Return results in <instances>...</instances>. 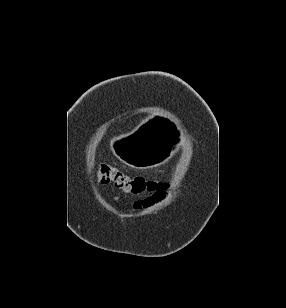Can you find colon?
I'll list each match as a JSON object with an SVG mask.
<instances>
[{"mask_svg": "<svg viewBox=\"0 0 286 308\" xmlns=\"http://www.w3.org/2000/svg\"><path fill=\"white\" fill-rule=\"evenodd\" d=\"M96 174L99 183L112 185L116 189L134 196L159 195L166 188V184L161 181L148 180L139 176L132 177L109 164L101 165Z\"/></svg>", "mask_w": 286, "mask_h": 308, "instance_id": "obj_1", "label": "colon"}]
</instances>
